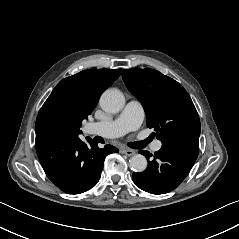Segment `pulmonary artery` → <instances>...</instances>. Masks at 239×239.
<instances>
[{
  "label": "pulmonary artery",
  "instance_id": "obj_1",
  "mask_svg": "<svg viewBox=\"0 0 239 239\" xmlns=\"http://www.w3.org/2000/svg\"><path fill=\"white\" fill-rule=\"evenodd\" d=\"M144 118V110L142 104L136 100L131 99L120 115L109 121H95L86 125V132L88 134L94 133V130L99 127H106L116 133V136H122L130 131L136 130L141 125ZM162 146L161 141H156L153 144V150L159 151Z\"/></svg>",
  "mask_w": 239,
  "mask_h": 239
}]
</instances>
